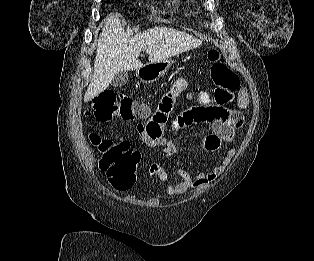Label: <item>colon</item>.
<instances>
[{"label":"colon","instance_id":"1","mask_svg":"<svg viewBox=\"0 0 314 261\" xmlns=\"http://www.w3.org/2000/svg\"><path fill=\"white\" fill-rule=\"evenodd\" d=\"M207 56L211 62L213 93L205 94L204 101L211 104L227 103L233 99L234 93L239 88L238 77L220 60L217 50L210 49ZM85 114L100 122H110L113 119L131 120L137 116L145 117L147 110L144 106H138L124 92L105 89L94 97ZM90 140L101 154L99 166L106 174L110 185L118 190L131 187L135 181L139 154L131 150L127 142L121 139H103L97 134H91Z\"/></svg>","mask_w":314,"mask_h":261}]
</instances>
